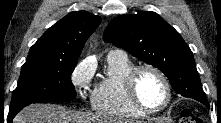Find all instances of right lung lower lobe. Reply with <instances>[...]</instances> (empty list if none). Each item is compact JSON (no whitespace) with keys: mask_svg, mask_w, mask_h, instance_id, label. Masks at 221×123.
Wrapping results in <instances>:
<instances>
[{"mask_svg":"<svg viewBox=\"0 0 221 123\" xmlns=\"http://www.w3.org/2000/svg\"><path fill=\"white\" fill-rule=\"evenodd\" d=\"M16 114H17V113H16ZM16 114H10V113H9L8 119H9L10 121H12V119L15 117Z\"/></svg>","mask_w":221,"mask_h":123,"instance_id":"obj_1","label":"right lung lower lobe"}]
</instances>
